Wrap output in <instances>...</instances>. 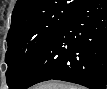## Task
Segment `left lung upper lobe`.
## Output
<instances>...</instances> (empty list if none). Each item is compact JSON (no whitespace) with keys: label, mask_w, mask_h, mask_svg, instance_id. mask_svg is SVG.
<instances>
[{"label":"left lung upper lobe","mask_w":107,"mask_h":89,"mask_svg":"<svg viewBox=\"0 0 107 89\" xmlns=\"http://www.w3.org/2000/svg\"><path fill=\"white\" fill-rule=\"evenodd\" d=\"M85 0H18L7 35L6 80L13 89L61 25Z\"/></svg>","instance_id":"5c2ea615"}]
</instances>
